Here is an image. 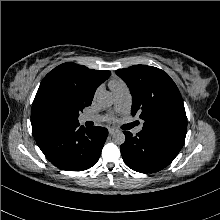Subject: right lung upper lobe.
Returning <instances> with one entry per match:
<instances>
[{"instance_id": "right-lung-upper-lobe-1", "label": "right lung upper lobe", "mask_w": 220, "mask_h": 220, "mask_svg": "<svg viewBox=\"0 0 220 220\" xmlns=\"http://www.w3.org/2000/svg\"><path fill=\"white\" fill-rule=\"evenodd\" d=\"M111 75L110 71L92 70L75 63H63L50 71L41 82L32 104V129L53 125L75 124L62 110H54L49 99L57 91H65L91 105L96 88Z\"/></svg>"}]
</instances>
